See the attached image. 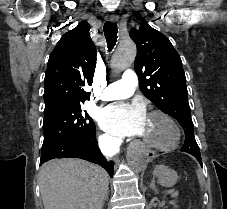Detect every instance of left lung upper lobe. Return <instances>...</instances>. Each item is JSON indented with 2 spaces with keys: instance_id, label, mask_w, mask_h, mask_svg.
<instances>
[{
  "instance_id": "obj_1",
  "label": "left lung upper lobe",
  "mask_w": 227,
  "mask_h": 209,
  "mask_svg": "<svg viewBox=\"0 0 227 209\" xmlns=\"http://www.w3.org/2000/svg\"><path fill=\"white\" fill-rule=\"evenodd\" d=\"M130 38L137 45L135 71L140 90L162 112L175 118L182 126L185 132L182 151L200 155L179 54L170 40L146 21H142L139 29L130 31Z\"/></svg>"
}]
</instances>
